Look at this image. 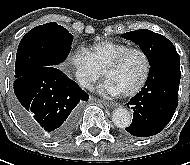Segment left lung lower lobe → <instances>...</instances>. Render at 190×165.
I'll return each mask as SVG.
<instances>
[{"instance_id": "obj_1", "label": "left lung lower lobe", "mask_w": 190, "mask_h": 165, "mask_svg": "<svg viewBox=\"0 0 190 165\" xmlns=\"http://www.w3.org/2000/svg\"><path fill=\"white\" fill-rule=\"evenodd\" d=\"M180 58L172 55L152 64L145 87L127 104L134 110L125 130L133 136L148 137L163 130L178 104Z\"/></svg>"}]
</instances>
